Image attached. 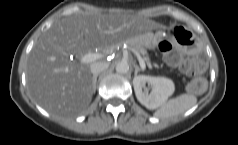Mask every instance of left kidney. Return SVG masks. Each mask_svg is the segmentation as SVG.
Returning <instances> with one entry per match:
<instances>
[{
	"label": "left kidney",
	"instance_id": "left-kidney-1",
	"mask_svg": "<svg viewBox=\"0 0 238 145\" xmlns=\"http://www.w3.org/2000/svg\"><path fill=\"white\" fill-rule=\"evenodd\" d=\"M146 83L151 87L149 93ZM133 86L138 101L150 110L158 108L175 90L172 80L165 77L135 76Z\"/></svg>",
	"mask_w": 238,
	"mask_h": 145
}]
</instances>
